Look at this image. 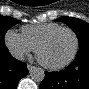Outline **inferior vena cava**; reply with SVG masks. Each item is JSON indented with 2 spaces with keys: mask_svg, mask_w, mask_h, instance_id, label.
I'll return each instance as SVG.
<instances>
[{
  "mask_svg": "<svg viewBox=\"0 0 89 89\" xmlns=\"http://www.w3.org/2000/svg\"><path fill=\"white\" fill-rule=\"evenodd\" d=\"M15 57L20 61L24 60V55L23 54H17Z\"/></svg>",
  "mask_w": 89,
  "mask_h": 89,
  "instance_id": "1",
  "label": "inferior vena cava"
}]
</instances>
